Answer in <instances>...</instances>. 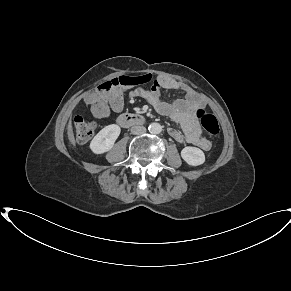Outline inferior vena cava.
<instances>
[{
	"label": "inferior vena cava",
	"mask_w": 291,
	"mask_h": 291,
	"mask_svg": "<svg viewBox=\"0 0 291 291\" xmlns=\"http://www.w3.org/2000/svg\"><path fill=\"white\" fill-rule=\"evenodd\" d=\"M146 132V128L144 126L135 125L131 127V133L134 135H140Z\"/></svg>",
	"instance_id": "1"
}]
</instances>
